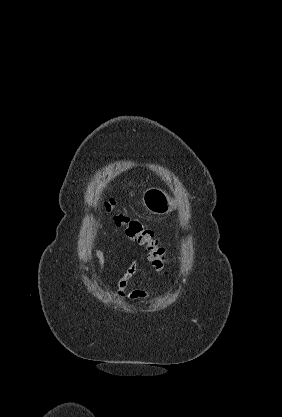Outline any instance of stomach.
<instances>
[{
	"mask_svg": "<svg viewBox=\"0 0 282 417\" xmlns=\"http://www.w3.org/2000/svg\"><path fill=\"white\" fill-rule=\"evenodd\" d=\"M142 202L147 211L153 215H166L173 209H176V200L167 194L166 190L162 188H146L142 194Z\"/></svg>",
	"mask_w": 282,
	"mask_h": 417,
	"instance_id": "obj_1",
	"label": "stomach"
}]
</instances>
